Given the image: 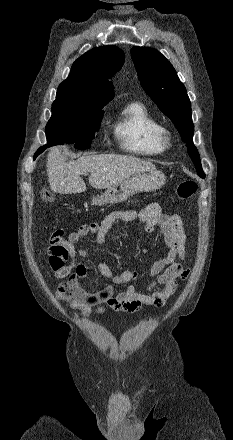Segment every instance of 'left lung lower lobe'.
Returning a JSON list of instances; mask_svg holds the SVG:
<instances>
[{"label": "left lung lower lobe", "mask_w": 233, "mask_h": 440, "mask_svg": "<svg viewBox=\"0 0 233 440\" xmlns=\"http://www.w3.org/2000/svg\"><path fill=\"white\" fill-rule=\"evenodd\" d=\"M198 174H199V176H201L202 178H204L205 177V174L203 173V171L202 172H197Z\"/></svg>", "instance_id": "obj_1"}]
</instances>
